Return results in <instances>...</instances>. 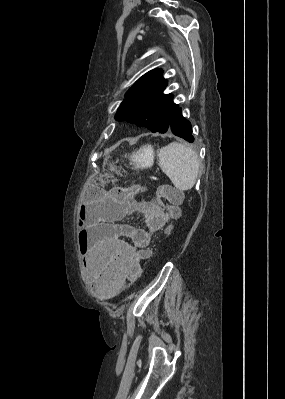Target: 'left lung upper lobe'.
Instances as JSON below:
<instances>
[{
    "label": "left lung upper lobe",
    "mask_w": 285,
    "mask_h": 399,
    "mask_svg": "<svg viewBox=\"0 0 285 399\" xmlns=\"http://www.w3.org/2000/svg\"><path fill=\"white\" fill-rule=\"evenodd\" d=\"M166 86L161 69L144 74L126 93L115 119L146 127L153 133H165L178 108L173 95L163 93Z\"/></svg>",
    "instance_id": "left-lung-upper-lobe-1"
}]
</instances>
